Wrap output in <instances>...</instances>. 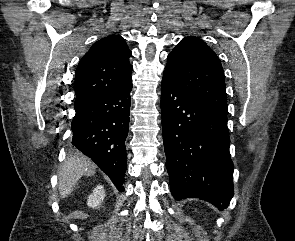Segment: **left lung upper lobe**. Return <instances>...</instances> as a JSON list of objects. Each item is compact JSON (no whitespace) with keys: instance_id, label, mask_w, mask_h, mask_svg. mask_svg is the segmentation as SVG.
Here are the masks:
<instances>
[{"instance_id":"5c2ea615","label":"left lung upper lobe","mask_w":295,"mask_h":241,"mask_svg":"<svg viewBox=\"0 0 295 241\" xmlns=\"http://www.w3.org/2000/svg\"><path fill=\"white\" fill-rule=\"evenodd\" d=\"M164 74L190 95L227 112L222 65L201 39L184 38L168 55Z\"/></svg>"}]
</instances>
